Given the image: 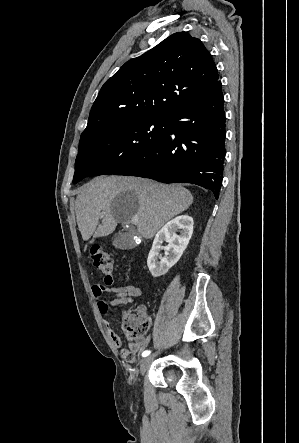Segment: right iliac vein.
I'll return each mask as SVG.
<instances>
[{
	"mask_svg": "<svg viewBox=\"0 0 299 443\" xmlns=\"http://www.w3.org/2000/svg\"><path fill=\"white\" fill-rule=\"evenodd\" d=\"M151 363V357L143 358L140 361V372L143 374Z\"/></svg>",
	"mask_w": 299,
	"mask_h": 443,
	"instance_id": "right-iliac-vein-1",
	"label": "right iliac vein"
}]
</instances>
